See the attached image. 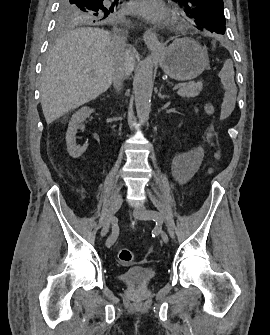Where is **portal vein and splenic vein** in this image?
<instances>
[{
    "instance_id": "1",
    "label": "portal vein and splenic vein",
    "mask_w": 270,
    "mask_h": 335,
    "mask_svg": "<svg viewBox=\"0 0 270 335\" xmlns=\"http://www.w3.org/2000/svg\"><path fill=\"white\" fill-rule=\"evenodd\" d=\"M180 83H182V82H180ZM180 85H182V84H179V85H177V86H174V87H173V90L178 91V90L180 89ZM173 92H174V91H173Z\"/></svg>"
}]
</instances>
